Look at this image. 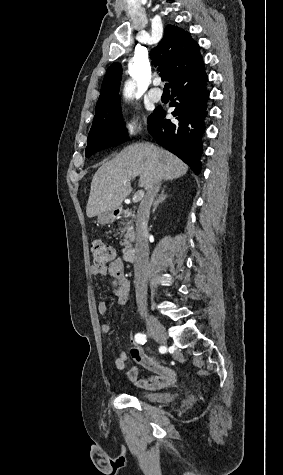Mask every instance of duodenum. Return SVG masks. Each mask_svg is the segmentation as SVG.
Returning <instances> with one entry per match:
<instances>
[{
  "mask_svg": "<svg viewBox=\"0 0 283 475\" xmlns=\"http://www.w3.org/2000/svg\"><path fill=\"white\" fill-rule=\"evenodd\" d=\"M120 213L119 212H116L115 213V216H119ZM123 259L124 261L126 262H133L134 259H135V248L134 247H128L124 250L123 252Z\"/></svg>",
  "mask_w": 283,
  "mask_h": 475,
  "instance_id": "410a0bca",
  "label": "duodenum"
}]
</instances>
